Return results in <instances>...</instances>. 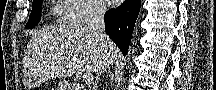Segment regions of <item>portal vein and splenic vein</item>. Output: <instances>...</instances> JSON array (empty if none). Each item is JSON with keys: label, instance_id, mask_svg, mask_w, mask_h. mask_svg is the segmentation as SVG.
<instances>
[{"label": "portal vein and splenic vein", "instance_id": "portal-vein-and-splenic-vein-1", "mask_svg": "<svg viewBox=\"0 0 216 90\" xmlns=\"http://www.w3.org/2000/svg\"><path fill=\"white\" fill-rule=\"evenodd\" d=\"M83 80L85 84H92L94 78L91 76V74H85V76H83Z\"/></svg>", "mask_w": 216, "mask_h": 90}]
</instances>
